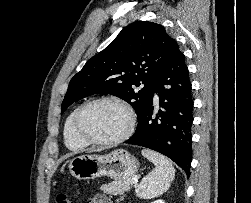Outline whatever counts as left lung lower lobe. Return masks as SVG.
Returning <instances> with one entry per match:
<instances>
[{"label":"left lung lower lobe","instance_id":"0a47b994","mask_svg":"<svg viewBox=\"0 0 251 203\" xmlns=\"http://www.w3.org/2000/svg\"><path fill=\"white\" fill-rule=\"evenodd\" d=\"M159 96V109L153 114V95ZM193 98L189 71L183 53L175 42L171 54L153 83L151 98L138 118V126L124 143L155 150L190 175L192 156Z\"/></svg>","mask_w":251,"mask_h":203}]
</instances>
